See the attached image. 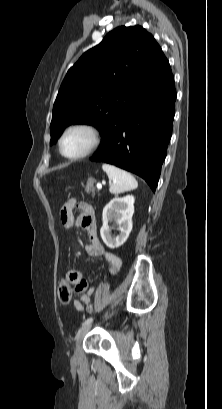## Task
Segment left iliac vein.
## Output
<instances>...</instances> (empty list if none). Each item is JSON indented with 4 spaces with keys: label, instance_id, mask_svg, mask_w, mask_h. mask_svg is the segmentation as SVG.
<instances>
[{
    "label": "left iliac vein",
    "instance_id": "4c4485c4",
    "mask_svg": "<svg viewBox=\"0 0 222 409\" xmlns=\"http://www.w3.org/2000/svg\"><path fill=\"white\" fill-rule=\"evenodd\" d=\"M91 329V324L88 325H83L77 332L76 335V341L77 343H80L85 335L88 333V331Z\"/></svg>",
    "mask_w": 222,
    "mask_h": 409
}]
</instances>
